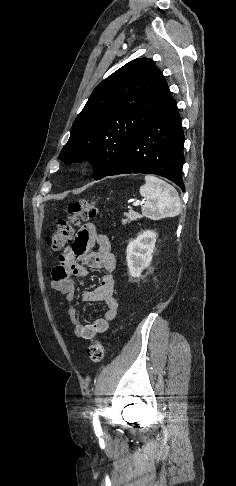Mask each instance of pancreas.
<instances>
[{
	"label": "pancreas",
	"mask_w": 236,
	"mask_h": 486,
	"mask_svg": "<svg viewBox=\"0 0 236 486\" xmlns=\"http://www.w3.org/2000/svg\"><path fill=\"white\" fill-rule=\"evenodd\" d=\"M125 215H126V218L122 219L123 225H126L127 223H131L132 221H135L137 219L142 218V215H140L139 213L132 211V210L129 211L128 213H126Z\"/></svg>",
	"instance_id": "pancreas-1"
}]
</instances>
